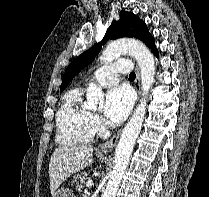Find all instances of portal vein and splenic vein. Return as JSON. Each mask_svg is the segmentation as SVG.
Here are the masks:
<instances>
[{
    "label": "portal vein and splenic vein",
    "mask_w": 209,
    "mask_h": 197,
    "mask_svg": "<svg viewBox=\"0 0 209 197\" xmlns=\"http://www.w3.org/2000/svg\"><path fill=\"white\" fill-rule=\"evenodd\" d=\"M92 185H93V181H92V180H89V181L86 183L87 188H91Z\"/></svg>",
    "instance_id": "1"
}]
</instances>
